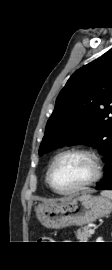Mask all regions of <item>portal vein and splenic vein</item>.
I'll list each match as a JSON object with an SVG mask.
<instances>
[{
  "instance_id": "portal-vein-and-splenic-vein-1",
  "label": "portal vein and splenic vein",
  "mask_w": 112,
  "mask_h": 270,
  "mask_svg": "<svg viewBox=\"0 0 112 270\" xmlns=\"http://www.w3.org/2000/svg\"><path fill=\"white\" fill-rule=\"evenodd\" d=\"M90 234H94V229H89Z\"/></svg>"
}]
</instances>
